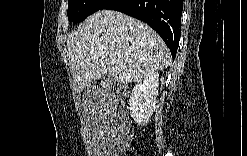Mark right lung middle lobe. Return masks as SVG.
<instances>
[{
  "instance_id": "dd1d6c3e",
  "label": "right lung middle lobe",
  "mask_w": 247,
  "mask_h": 156,
  "mask_svg": "<svg viewBox=\"0 0 247 156\" xmlns=\"http://www.w3.org/2000/svg\"><path fill=\"white\" fill-rule=\"evenodd\" d=\"M108 0H68V20L82 22L89 15L100 10Z\"/></svg>"
}]
</instances>
